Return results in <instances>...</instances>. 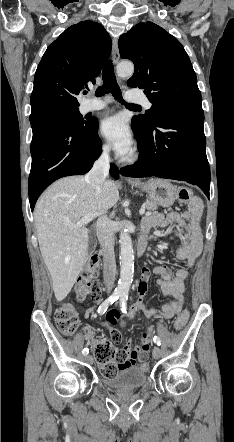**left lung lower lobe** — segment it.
I'll use <instances>...</instances> for the list:
<instances>
[{"instance_id": "0a47b994", "label": "left lung lower lobe", "mask_w": 234, "mask_h": 442, "mask_svg": "<svg viewBox=\"0 0 234 442\" xmlns=\"http://www.w3.org/2000/svg\"><path fill=\"white\" fill-rule=\"evenodd\" d=\"M202 107L170 111L154 122L146 134L136 137L140 157L121 170L129 177H161L187 181L209 198L210 168L206 156Z\"/></svg>"}]
</instances>
